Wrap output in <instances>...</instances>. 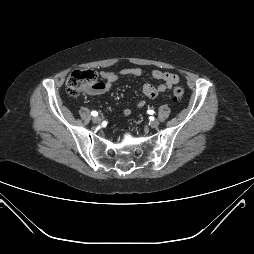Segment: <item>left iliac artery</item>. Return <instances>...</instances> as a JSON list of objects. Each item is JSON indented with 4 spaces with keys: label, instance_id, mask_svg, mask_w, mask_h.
<instances>
[{
    "label": "left iliac artery",
    "instance_id": "44dca946",
    "mask_svg": "<svg viewBox=\"0 0 254 254\" xmlns=\"http://www.w3.org/2000/svg\"><path fill=\"white\" fill-rule=\"evenodd\" d=\"M148 114H154L153 110H148Z\"/></svg>",
    "mask_w": 254,
    "mask_h": 254
}]
</instances>
